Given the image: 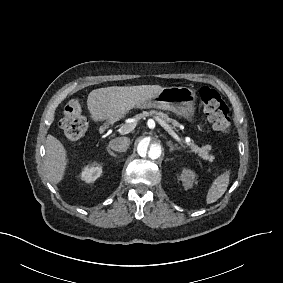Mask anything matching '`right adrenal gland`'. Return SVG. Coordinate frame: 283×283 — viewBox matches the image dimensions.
I'll use <instances>...</instances> for the list:
<instances>
[{
  "instance_id": "obj_1",
  "label": "right adrenal gland",
  "mask_w": 283,
  "mask_h": 283,
  "mask_svg": "<svg viewBox=\"0 0 283 283\" xmlns=\"http://www.w3.org/2000/svg\"><path fill=\"white\" fill-rule=\"evenodd\" d=\"M107 151H108V153H109L112 157H114V158H118V157H119V156L116 155L114 152H112L109 148H107Z\"/></svg>"
}]
</instances>
